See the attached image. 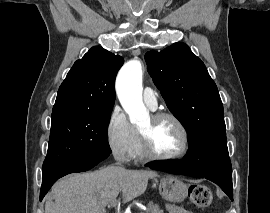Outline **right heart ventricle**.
<instances>
[{
    "mask_svg": "<svg viewBox=\"0 0 270 213\" xmlns=\"http://www.w3.org/2000/svg\"><path fill=\"white\" fill-rule=\"evenodd\" d=\"M132 158H134L136 160H143L144 159V155H143L142 150H141L139 133L137 130H136V141H135V145H134L133 152H132Z\"/></svg>",
    "mask_w": 270,
    "mask_h": 213,
    "instance_id": "right-heart-ventricle-1",
    "label": "right heart ventricle"
}]
</instances>
